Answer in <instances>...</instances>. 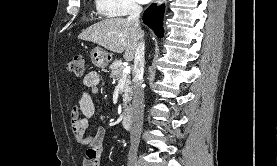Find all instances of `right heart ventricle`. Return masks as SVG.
Segmentation results:
<instances>
[{"label": "right heart ventricle", "instance_id": "1", "mask_svg": "<svg viewBox=\"0 0 277 166\" xmlns=\"http://www.w3.org/2000/svg\"><path fill=\"white\" fill-rule=\"evenodd\" d=\"M95 4H96V7H97L98 12H99L101 15L110 16V15H108L107 13H105V12L100 8L99 0H95Z\"/></svg>", "mask_w": 277, "mask_h": 166}]
</instances>
